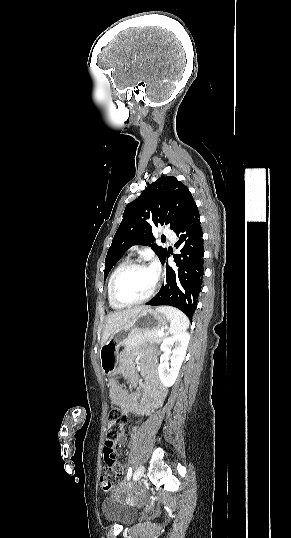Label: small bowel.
<instances>
[{
  "label": "small bowel",
  "instance_id": "obj_1",
  "mask_svg": "<svg viewBox=\"0 0 291 538\" xmlns=\"http://www.w3.org/2000/svg\"><path fill=\"white\" fill-rule=\"evenodd\" d=\"M118 371L132 386L137 384L138 377L134 363L128 354L122 355ZM142 372L145 376V384L136 393L127 392L116 379L118 377V372H111L112 378L108 381L109 400L112 405L118 406L125 414H147L151 406L156 404L161 398L162 387L154 363L145 364L142 367ZM116 441L120 446H125L127 444V438L124 434H121Z\"/></svg>",
  "mask_w": 291,
  "mask_h": 538
}]
</instances>
